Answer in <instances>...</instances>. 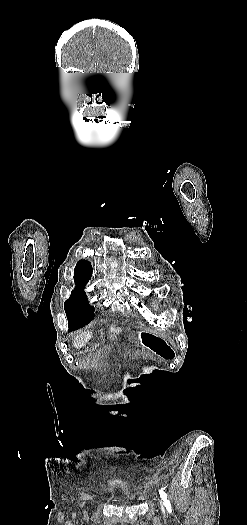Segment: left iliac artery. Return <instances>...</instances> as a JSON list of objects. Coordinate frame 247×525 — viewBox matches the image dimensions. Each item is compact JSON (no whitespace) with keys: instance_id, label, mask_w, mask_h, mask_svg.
I'll return each mask as SVG.
<instances>
[{"instance_id":"obj_1","label":"left iliac artery","mask_w":247,"mask_h":525,"mask_svg":"<svg viewBox=\"0 0 247 525\" xmlns=\"http://www.w3.org/2000/svg\"><path fill=\"white\" fill-rule=\"evenodd\" d=\"M159 494H160V497L163 500V504L165 505L167 510L171 511V504H170V501L167 498V494L162 489L159 490Z\"/></svg>"}]
</instances>
